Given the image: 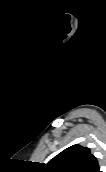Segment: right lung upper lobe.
<instances>
[{
    "label": "right lung upper lobe",
    "instance_id": "right-lung-upper-lobe-1",
    "mask_svg": "<svg viewBox=\"0 0 106 172\" xmlns=\"http://www.w3.org/2000/svg\"><path fill=\"white\" fill-rule=\"evenodd\" d=\"M49 172H100L97 159L90 153L89 148L73 145L46 165Z\"/></svg>",
    "mask_w": 106,
    "mask_h": 172
}]
</instances>
